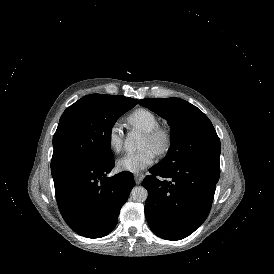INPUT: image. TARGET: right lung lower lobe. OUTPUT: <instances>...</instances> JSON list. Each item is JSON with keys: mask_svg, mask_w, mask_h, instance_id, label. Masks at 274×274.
<instances>
[{"mask_svg": "<svg viewBox=\"0 0 274 274\" xmlns=\"http://www.w3.org/2000/svg\"><path fill=\"white\" fill-rule=\"evenodd\" d=\"M114 159L101 164L76 162L51 169L59 210L79 235L100 238L113 230L134 186L133 174L107 177Z\"/></svg>", "mask_w": 274, "mask_h": 274, "instance_id": "right-lung-lower-lobe-1", "label": "right lung lower lobe"}]
</instances>
